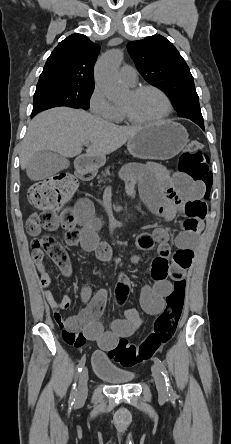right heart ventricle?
I'll list each match as a JSON object with an SVG mask.
<instances>
[{
  "label": "right heart ventricle",
  "mask_w": 231,
  "mask_h": 444,
  "mask_svg": "<svg viewBox=\"0 0 231 444\" xmlns=\"http://www.w3.org/2000/svg\"><path fill=\"white\" fill-rule=\"evenodd\" d=\"M123 117L124 116L122 114V111L120 109H118V116H117V119L115 121H121L123 119Z\"/></svg>",
  "instance_id": "e07e8e85"
}]
</instances>
